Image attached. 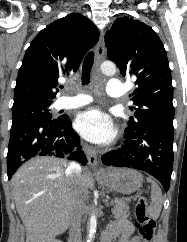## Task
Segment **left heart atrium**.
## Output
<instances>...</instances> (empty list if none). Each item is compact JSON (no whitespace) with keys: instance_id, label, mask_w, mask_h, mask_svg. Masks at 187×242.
<instances>
[{"instance_id":"39dd6f15","label":"left heart atrium","mask_w":187,"mask_h":242,"mask_svg":"<svg viewBox=\"0 0 187 242\" xmlns=\"http://www.w3.org/2000/svg\"><path fill=\"white\" fill-rule=\"evenodd\" d=\"M75 127L84 138L94 143H107L116 133L110 117L99 108L81 112L75 120Z\"/></svg>"}]
</instances>
